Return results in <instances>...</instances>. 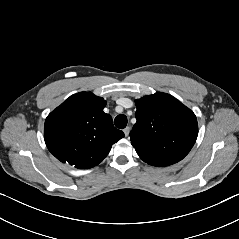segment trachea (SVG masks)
<instances>
[{
	"label": "trachea",
	"instance_id": "trachea-1",
	"mask_svg": "<svg viewBox=\"0 0 239 239\" xmlns=\"http://www.w3.org/2000/svg\"><path fill=\"white\" fill-rule=\"evenodd\" d=\"M114 124L119 129H124L127 125V117L123 114L116 116L114 119Z\"/></svg>",
	"mask_w": 239,
	"mask_h": 239
}]
</instances>
